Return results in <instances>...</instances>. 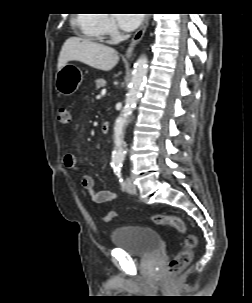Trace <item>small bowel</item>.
Masks as SVG:
<instances>
[{
  "label": "small bowel",
  "mask_w": 252,
  "mask_h": 303,
  "mask_svg": "<svg viewBox=\"0 0 252 303\" xmlns=\"http://www.w3.org/2000/svg\"><path fill=\"white\" fill-rule=\"evenodd\" d=\"M68 170H77V159L74 154L67 153L63 159ZM82 188L89 193L90 200L95 204H102L117 198V194L109 190L94 191V180L90 175H84L80 179Z\"/></svg>",
  "instance_id": "c3829d8e"
}]
</instances>
